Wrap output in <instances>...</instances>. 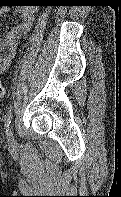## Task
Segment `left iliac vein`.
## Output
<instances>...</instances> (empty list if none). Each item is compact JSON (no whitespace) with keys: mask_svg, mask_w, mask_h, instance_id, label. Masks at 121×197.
<instances>
[{"mask_svg":"<svg viewBox=\"0 0 121 197\" xmlns=\"http://www.w3.org/2000/svg\"><path fill=\"white\" fill-rule=\"evenodd\" d=\"M7 140L10 144L15 143V139H14V136H13V133H12L11 130H9L8 133H7Z\"/></svg>","mask_w":121,"mask_h":197,"instance_id":"left-iliac-vein-1","label":"left iliac vein"}]
</instances>
